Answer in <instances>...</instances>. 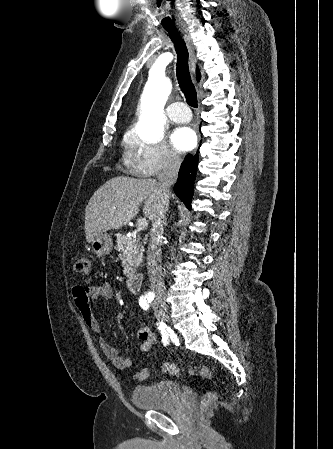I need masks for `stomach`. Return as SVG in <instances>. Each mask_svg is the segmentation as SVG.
Segmentation results:
<instances>
[{"label": "stomach", "mask_w": 333, "mask_h": 449, "mask_svg": "<svg viewBox=\"0 0 333 449\" xmlns=\"http://www.w3.org/2000/svg\"><path fill=\"white\" fill-rule=\"evenodd\" d=\"M92 250L98 256H104L110 253L112 249V239L107 233L97 236L92 242Z\"/></svg>", "instance_id": "0dacf381"}]
</instances>
